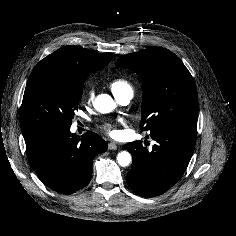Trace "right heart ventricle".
<instances>
[{
    "label": "right heart ventricle",
    "instance_id": "e07e8e85",
    "mask_svg": "<svg viewBox=\"0 0 236 236\" xmlns=\"http://www.w3.org/2000/svg\"><path fill=\"white\" fill-rule=\"evenodd\" d=\"M110 89L112 90L114 95H119L127 91L133 92L131 83L125 78H116L111 81Z\"/></svg>",
    "mask_w": 236,
    "mask_h": 236
}]
</instances>
